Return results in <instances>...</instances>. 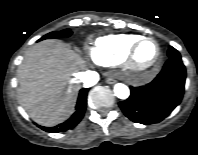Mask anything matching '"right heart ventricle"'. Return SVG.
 <instances>
[{"mask_svg": "<svg viewBox=\"0 0 198 155\" xmlns=\"http://www.w3.org/2000/svg\"><path fill=\"white\" fill-rule=\"evenodd\" d=\"M142 38L135 34H113L95 40L91 49L92 58L99 64L111 66L124 61L134 45Z\"/></svg>", "mask_w": 198, "mask_h": 155, "instance_id": "obj_1", "label": "right heart ventricle"}]
</instances>
